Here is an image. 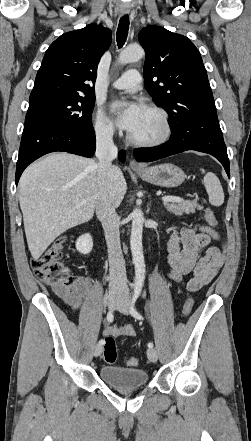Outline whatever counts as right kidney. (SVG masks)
Masks as SVG:
<instances>
[{"label": "right kidney", "mask_w": 251, "mask_h": 441, "mask_svg": "<svg viewBox=\"0 0 251 441\" xmlns=\"http://www.w3.org/2000/svg\"><path fill=\"white\" fill-rule=\"evenodd\" d=\"M93 248V240L90 234L81 235L76 241V249L81 254H88Z\"/></svg>", "instance_id": "right-kidney-1"}]
</instances>
